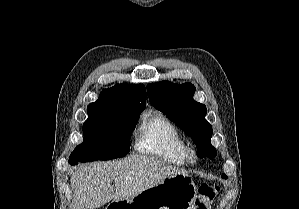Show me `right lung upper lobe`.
Returning a JSON list of instances; mask_svg holds the SVG:
<instances>
[{
    "mask_svg": "<svg viewBox=\"0 0 299 209\" xmlns=\"http://www.w3.org/2000/svg\"><path fill=\"white\" fill-rule=\"evenodd\" d=\"M146 106L144 85L117 84L104 89L96 102L88 105V112L141 113Z\"/></svg>",
    "mask_w": 299,
    "mask_h": 209,
    "instance_id": "obj_1",
    "label": "right lung upper lobe"
}]
</instances>
